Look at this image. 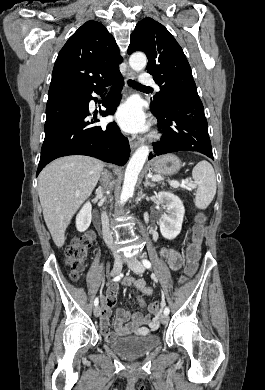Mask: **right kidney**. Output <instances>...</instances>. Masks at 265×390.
Masks as SVG:
<instances>
[{"label": "right kidney", "instance_id": "1", "mask_svg": "<svg viewBox=\"0 0 265 390\" xmlns=\"http://www.w3.org/2000/svg\"><path fill=\"white\" fill-rule=\"evenodd\" d=\"M91 210H92V205L88 201L83 205V207L77 214L76 228L79 232H84L90 226L92 220Z\"/></svg>", "mask_w": 265, "mask_h": 390}]
</instances>
